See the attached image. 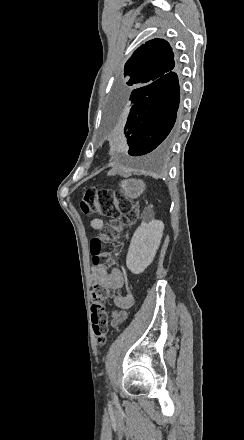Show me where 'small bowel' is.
I'll use <instances>...</instances> for the list:
<instances>
[{
  "label": "small bowel",
  "mask_w": 244,
  "mask_h": 440,
  "mask_svg": "<svg viewBox=\"0 0 244 440\" xmlns=\"http://www.w3.org/2000/svg\"><path fill=\"white\" fill-rule=\"evenodd\" d=\"M91 228L100 230L104 226L101 219L95 218L90 222ZM91 281L94 286L105 285L111 289H118L123 286V276L118 269L108 271L102 264H93L90 274ZM114 303L119 310L113 311L111 316V327L116 329L127 318V312L135 304V297L130 289L124 296H117L114 298Z\"/></svg>",
  "instance_id": "small-bowel-1"
}]
</instances>
